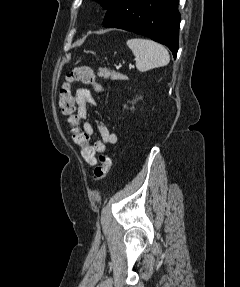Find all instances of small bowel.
<instances>
[{
    "label": "small bowel",
    "instance_id": "c3829d8e",
    "mask_svg": "<svg viewBox=\"0 0 240 287\" xmlns=\"http://www.w3.org/2000/svg\"><path fill=\"white\" fill-rule=\"evenodd\" d=\"M75 114L82 121V129L91 136L94 133V126L91 121L87 120L89 106L96 105V101L89 89H77L74 97ZM99 138L93 144L97 153H103L107 144L116 145L118 137L100 121H97Z\"/></svg>",
    "mask_w": 240,
    "mask_h": 287
}]
</instances>
